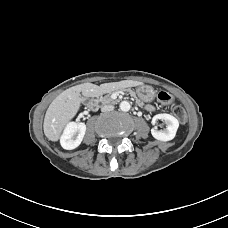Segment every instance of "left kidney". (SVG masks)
Instances as JSON below:
<instances>
[{"label": "left kidney", "mask_w": 228, "mask_h": 228, "mask_svg": "<svg viewBox=\"0 0 228 228\" xmlns=\"http://www.w3.org/2000/svg\"><path fill=\"white\" fill-rule=\"evenodd\" d=\"M157 120L164 121L167 126L164 130H158L157 127H153L151 129L152 136L159 141L166 142L172 140L179 127L178 120L174 116L166 113L155 115L152 118V124L155 125Z\"/></svg>", "instance_id": "obj_1"}]
</instances>
